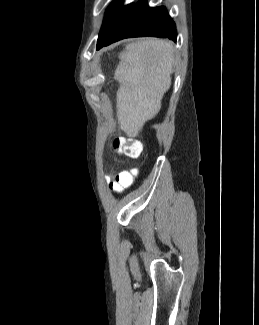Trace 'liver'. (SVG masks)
<instances>
[{
  "mask_svg": "<svg viewBox=\"0 0 259 325\" xmlns=\"http://www.w3.org/2000/svg\"><path fill=\"white\" fill-rule=\"evenodd\" d=\"M174 47L163 39L128 42L119 54L114 78L117 92V118L129 138L136 137L146 121L161 108L164 94L171 86Z\"/></svg>",
  "mask_w": 259,
  "mask_h": 325,
  "instance_id": "6515ba94",
  "label": "liver"
}]
</instances>
